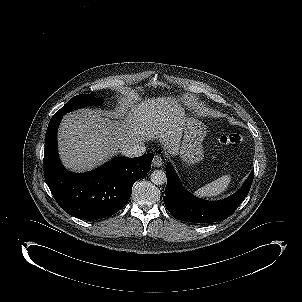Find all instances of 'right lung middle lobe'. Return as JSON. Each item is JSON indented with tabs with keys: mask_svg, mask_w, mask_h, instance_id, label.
<instances>
[{
	"mask_svg": "<svg viewBox=\"0 0 302 302\" xmlns=\"http://www.w3.org/2000/svg\"><path fill=\"white\" fill-rule=\"evenodd\" d=\"M101 102L100 99H96L90 94L77 95L69 100L54 116L64 115L77 108L92 104H100Z\"/></svg>",
	"mask_w": 302,
	"mask_h": 302,
	"instance_id": "dd1d6c3e",
	"label": "right lung middle lobe"
}]
</instances>
